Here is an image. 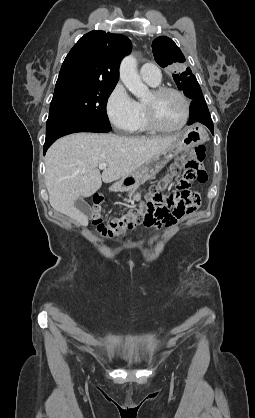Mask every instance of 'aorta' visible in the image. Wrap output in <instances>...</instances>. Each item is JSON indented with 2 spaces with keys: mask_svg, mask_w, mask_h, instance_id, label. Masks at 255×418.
Wrapping results in <instances>:
<instances>
[{
  "mask_svg": "<svg viewBox=\"0 0 255 418\" xmlns=\"http://www.w3.org/2000/svg\"><path fill=\"white\" fill-rule=\"evenodd\" d=\"M119 72L121 81L136 98L141 100L148 96L149 89L138 75L135 57L126 56L120 64Z\"/></svg>",
  "mask_w": 255,
  "mask_h": 418,
  "instance_id": "obj_1",
  "label": "aorta"
}]
</instances>
